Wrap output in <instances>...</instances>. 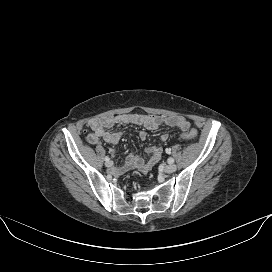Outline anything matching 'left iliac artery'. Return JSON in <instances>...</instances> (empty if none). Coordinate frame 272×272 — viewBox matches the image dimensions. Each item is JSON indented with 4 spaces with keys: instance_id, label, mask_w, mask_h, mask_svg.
Returning a JSON list of instances; mask_svg holds the SVG:
<instances>
[{
    "instance_id": "obj_1",
    "label": "left iliac artery",
    "mask_w": 272,
    "mask_h": 272,
    "mask_svg": "<svg viewBox=\"0 0 272 272\" xmlns=\"http://www.w3.org/2000/svg\"><path fill=\"white\" fill-rule=\"evenodd\" d=\"M166 153L170 154V153H171V149H170V148H169V149L167 148V149H166ZM168 163H170V164H171V163H174V159H173L172 157H170V158L168 159Z\"/></svg>"
}]
</instances>
